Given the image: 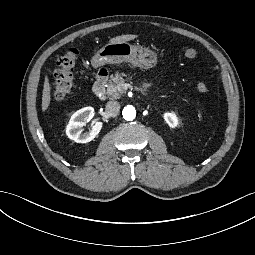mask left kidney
<instances>
[{
    "label": "left kidney",
    "mask_w": 255,
    "mask_h": 255,
    "mask_svg": "<svg viewBox=\"0 0 255 255\" xmlns=\"http://www.w3.org/2000/svg\"><path fill=\"white\" fill-rule=\"evenodd\" d=\"M164 118L170 127H175L177 125V119L175 115L171 113H166Z\"/></svg>",
    "instance_id": "1"
}]
</instances>
